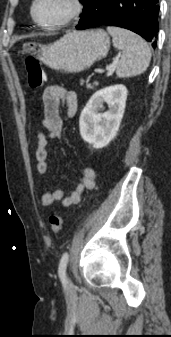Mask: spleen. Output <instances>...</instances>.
I'll use <instances>...</instances> for the list:
<instances>
[{
  "mask_svg": "<svg viewBox=\"0 0 171 337\" xmlns=\"http://www.w3.org/2000/svg\"><path fill=\"white\" fill-rule=\"evenodd\" d=\"M113 46L121 50L116 75L119 78L133 77L144 73L151 60V50L139 35L123 28L109 26Z\"/></svg>",
  "mask_w": 171,
  "mask_h": 337,
  "instance_id": "obj_1",
  "label": "spleen"
}]
</instances>
